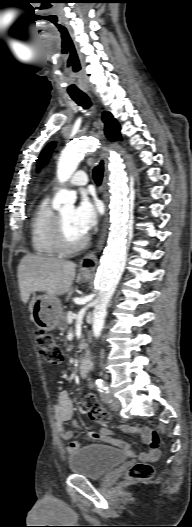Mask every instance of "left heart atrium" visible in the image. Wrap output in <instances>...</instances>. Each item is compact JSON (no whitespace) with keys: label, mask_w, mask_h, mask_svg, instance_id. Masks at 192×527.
Here are the masks:
<instances>
[{"label":"left heart atrium","mask_w":192,"mask_h":527,"mask_svg":"<svg viewBox=\"0 0 192 527\" xmlns=\"http://www.w3.org/2000/svg\"><path fill=\"white\" fill-rule=\"evenodd\" d=\"M73 220L76 227L87 235L98 220V213L95 204L87 198H84L73 212Z\"/></svg>","instance_id":"39dd6f15"}]
</instances>
